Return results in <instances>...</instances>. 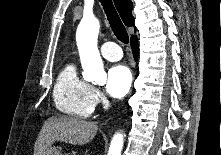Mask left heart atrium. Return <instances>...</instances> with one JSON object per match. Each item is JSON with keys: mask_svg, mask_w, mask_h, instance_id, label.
<instances>
[{"mask_svg": "<svg viewBox=\"0 0 221 155\" xmlns=\"http://www.w3.org/2000/svg\"><path fill=\"white\" fill-rule=\"evenodd\" d=\"M132 75L124 65H115L107 73L106 91L114 98L124 97L130 90Z\"/></svg>", "mask_w": 221, "mask_h": 155, "instance_id": "obj_1", "label": "left heart atrium"}]
</instances>
